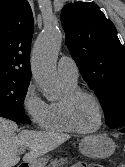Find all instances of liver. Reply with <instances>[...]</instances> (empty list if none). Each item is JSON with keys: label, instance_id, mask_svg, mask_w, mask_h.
Listing matches in <instances>:
<instances>
[{"label": "liver", "instance_id": "1", "mask_svg": "<svg viewBox=\"0 0 125 167\" xmlns=\"http://www.w3.org/2000/svg\"><path fill=\"white\" fill-rule=\"evenodd\" d=\"M17 130L15 122L0 117V167H13L18 164L20 147L30 149L24 155L23 161L31 162L70 138L67 134L32 130H23L16 134Z\"/></svg>", "mask_w": 125, "mask_h": 167}]
</instances>
